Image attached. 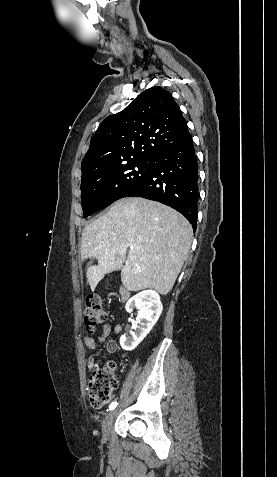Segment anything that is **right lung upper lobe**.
<instances>
[{
	"label": "right lung upper lobe",
	"instance_id": "right-lung-upper-lobe-1",
	"mask_svg": "<svg viewBox=\"0 0 277 477\" xmlns=\"http://www.w3.org/2000/svg\"><path fill=\"white\" fill-rule=\"evenodd\" d=\"M188 135L187 123L172 95L162 87H152L124 110L101 122L81 169L152 161Z\"/></svg>",
	"mask_w": 277,
	"mask_h": 477
}]
</instances>
